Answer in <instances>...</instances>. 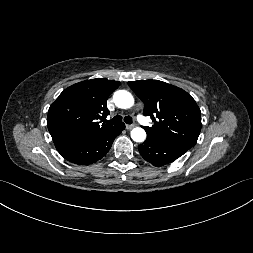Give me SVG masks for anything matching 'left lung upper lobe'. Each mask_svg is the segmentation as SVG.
<instances>
[{"label": "left lung upper lobe", "instance_id": "left-lung-upper-lobe-1", "mask_svg": "<svg viewBox=\"0 0 253 253\" xmlns=\"http://www.w3.org/2000/svg\"><path fill=\"white\" fill-rule=\"evenodd\" d=\"M131 89L144 103V115L154 122L143 127L147 136L192 148L201 130L200 109L190 94L159 81H131Z\"/></svg>", "mask_w": 253, "mask_h": 253}]
</instances>
